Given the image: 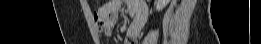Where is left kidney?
Returning <instances> with one entry per match:
<instances>
[{"label": "left kidney", "mask_w": 261, "mask_h": 44, "mask_svg": "<svg viewBox=\"0 0 261 44\" xmlns=\"http://www.w3.org/2000/svg\"><path fill=\"white\" fill-rule=\"evenodd\" d=\"M170 2V0H157L156 3V10L160 11L162 10L164 7L167 6V4Z\"/></svg>", "instance_id": "obj_1"}]
</instances>
